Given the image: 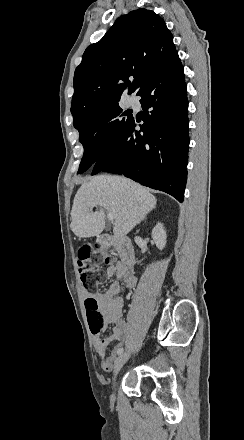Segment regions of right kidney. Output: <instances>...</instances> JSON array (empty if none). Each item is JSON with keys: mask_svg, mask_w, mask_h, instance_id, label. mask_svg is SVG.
<instances>
[{"mask_svg": "<svg viewBox=\"0 0 244 440\" xmlns=\"http://www.w3.org/2000/svg\"><path fill=\"white\" fill-rule=\"evenodd\" d=\"M166 232L163 228V224H156L155 228L152 230V240H154L158 250H163L166 244Z\"/></svg>", "mask_w": 244, "mask_h": 440, "instance_id": "right-kidney-1", "label": "right kidney"}]
</instances>
